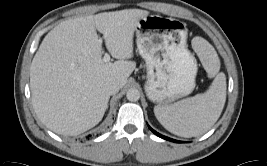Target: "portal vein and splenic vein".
Listing matches in <instances>:
<instances>
[{
	"mask_svg": "<svg viewBox=\"0 0 267 166\" xmlns=\"http://www.w3.org/2000/svg\"><path fill=\"white\" fill-rule=\"evenodd\" d=\"M101 42V40H99ZM103 61L104 62H109L110 61V55L108 53H105L104 57H103Z\"/></svg>",
	"mask_w": 267,
	"mask_h": 166,
	"instance_id": "portal-vein-and-splenic-vein-1",
	"label": "portal vein and splenic vein"
}]
</instances>
